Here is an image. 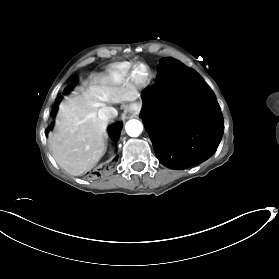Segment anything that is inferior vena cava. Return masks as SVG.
<instances>
[{"label": "inferior vena cava", "mask_w": 279, "mask_h": 279, "mask_svg": "<svg viewBox=\"0 0 279 279\" xmlns=\"http://www.w3.org/2000/svg\"><path fill=\"white\" fill-rule=\"evenodd\" d=\"M99 113V115H98V117L101 119V120H103V121H105L106 123L108 122V121H113L112 119L115 117H117V115H118V112H117V110H114V109H112L111 107H108V106H104L103 108H101L99 111H98ZM112 118V119H111Z\"/></svg>", "instance_id": "602c4592"}]
</instances>
